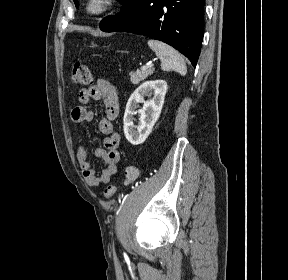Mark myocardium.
<instances>
[{
  "mask_svg": "<svg viewBox=\"0 0 288 280\" xmlns=\"http://www.w3.org/2000/svg\"><path fill=\"white\" fill-rule=\"evenodd\" d=\"M116 0H85L84 10L90 16H98L114 7Z\"/></svg>",
  "mask_w": 288,
  "mask_h": 280,
  "instance_id": "obj_1",
  "label": "myocardium"
}]
</instances>
